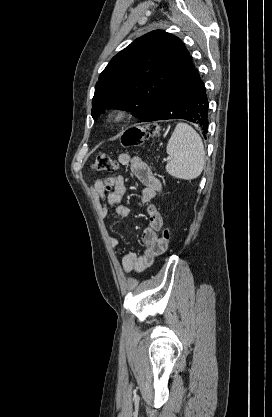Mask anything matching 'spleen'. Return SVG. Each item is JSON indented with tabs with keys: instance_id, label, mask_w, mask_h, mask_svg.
Instances as JSON below:
<instances>
[{
	"instance_id": "3e777b00",
	"label": "spleen",
	"mask_w": 272,
	"mask_h": 417,
	"mask_svg": "<svg viewBox=\"0 0 272 417\" xmlns=\"http://www.w3.org/2000/svg\"><path fill=\"white\" fill-rule=\"evenodd\" d=\"M167 154L171 160L166 171L171 176L192 180L197 178L205 165V151L201 137L188 124L178 123L168 141Z\"/></svg>"
}]
</instances>
